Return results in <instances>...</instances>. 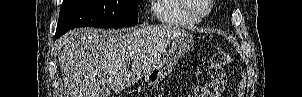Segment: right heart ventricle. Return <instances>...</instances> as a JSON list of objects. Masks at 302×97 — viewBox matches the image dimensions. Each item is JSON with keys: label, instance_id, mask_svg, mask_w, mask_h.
Segmentation results:
<instances>
[{"label": "right heart ventricle", "instance_id": "1", "mask_svg": "<svg viewBox=\"0 0 302 97\" xmlns=\"http://www.w3.org/2000/svg\"><path fill=\"white\" fill-rule=\"evenodd\" d=\"M152 11L164 25L188 27L198 23L185 11L182 0H155Z\"/></svg>", "mask_w": 302, "mask_h": 97}]
</instances>
